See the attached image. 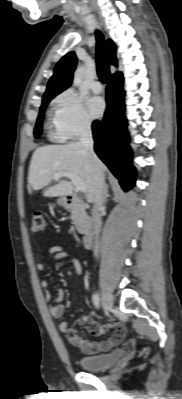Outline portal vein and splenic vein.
I'll list each match as a JSON object with an SVG mask.
<instances>
[{
  "label": "portal vein and splenic vein",
  "instance_id": "1",
  "mask_svg": "<svg viewBox=\"0 0 182 399\" xmlns=\"http://www.w3.org/2000/svg\"><path fill=\"white\" fill-rule=\"evenodd\" d=\"M61 177H68L69 179H71L73 185L76 187L77 190L85 192L86 191V186L84 184V182L77 177L75 174L70 173V172H57L53 174V178L55 180H59Z\"/></svg>",
  "mask_w": 182,
  "mask_h": 399
}]
</instances>
